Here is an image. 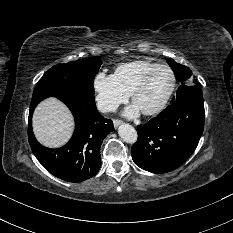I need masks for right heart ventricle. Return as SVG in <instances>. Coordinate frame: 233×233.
<instances>
[{
  "mask_svg": "<svg viewBox=\"0 0 233 233\" xmlns=\"http://www.w3.org/2000/svg\"><path fill=\"white\" fill-rule=\"evenodd\" d=\"M159 64L148 60H134L119 64L114 71V77L119 85L130 94L139 80L152 68Z\"/></svg>",
  "mask_w": 233,
  "mask_h": 233,
  "instance_id": "e07e8e85",
  "label": "right heart ventricle"
}]
</instances>
